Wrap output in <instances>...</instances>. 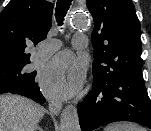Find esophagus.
I'll return each mask as SVG.
<instances>
[{"instance_id":"34e87169","label":"esophagus","mask_w":151,"mask_h":131,"mask_svg":"<svg viewBox=\"0 0 151 131\" xmlns=\"http://www.w3.org/2000/svg\"><path fill=\"white\" fill-rule=\"evenodd\" d=\"M62 103L58 100L49 101V110L53 115H58L61 111Z\"/></svg>"}]
</instances>
